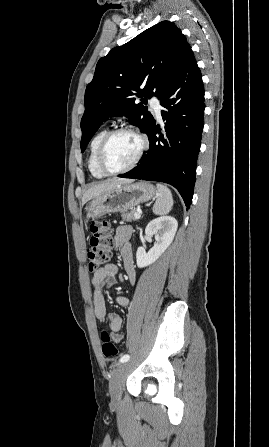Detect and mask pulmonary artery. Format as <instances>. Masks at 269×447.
I'll return each mask as SVG.
<instances>
[{"label": "pulmonary artery", "instance_id": "obj_1", "mask_svg": "<svg viewBox=\"0 0 269 447\" xmlns=\"http://www.w3.org/2000/svg\"><path fill=\"white\" fill-rule=\"evenodd\" d=\"M150 105L154 110L155 116L157 119H161V110H162V106L160 105V102L157 98H152L150 100Z\"/></svg>", "mask_w": 269, "mask_h": 447}]
</instances>
